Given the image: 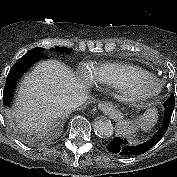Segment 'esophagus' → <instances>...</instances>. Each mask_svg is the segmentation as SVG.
<instances>
[{"mask_svg": "<svg viewBox=\"0 0 177 177\" xmlns=\"http://www.w3.org/2000/svg\"><path fill=\"white\" fill-rule=\"evenodd\" d=\"M113 107L111 102L102 101L98 104V108L104 112L109 111Z\"/></svg>", "mask_w": 177, "mask_h": 177, "instance_id": "1", "label": "esophagus"}]
</instances>
